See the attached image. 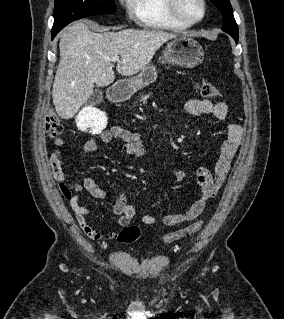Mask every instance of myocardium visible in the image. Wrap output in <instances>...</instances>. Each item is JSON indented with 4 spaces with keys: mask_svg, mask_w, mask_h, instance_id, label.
Instances as JSON below:
<instances>
[{
    "mask_svg": "<svg viewBox=\"0 0 284 319\" xmlns=\"http://www.w3.org/2000/svg\"><path fill=\"white\" fill-rule=\"evenodd\" d=\"M200 2H201L202 7H203V12H202L201 17L198 19H195V20H190L182 14V12L180 11V8H179V0H167V7H168L170 14L175 19H177L178 21L183 22L187 25H194V24L201 22L207 14L208 7H207L206 0H200Z\"/></svg>",
    "mask_w": 284,
    "mask_h": 319,
    "instance_id": "myocardium-1",
    "label": "myocardium"
}]
</instances>
